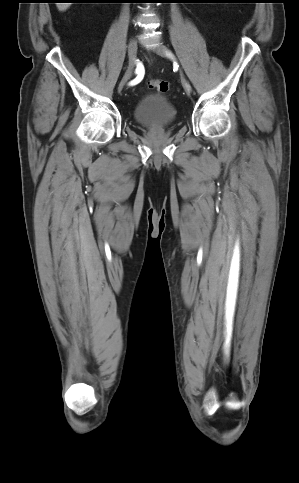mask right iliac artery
Segmentation results:
<instances>
[{"instance_id": "1", "label": "right iliac artery", "mask_w": 299, "mask_h": 483, "mask_svg": "<svg viewBox=\"0 0 299 483\" xmlns=\"http://www.w3.org/2000/svg\"><path fill=\"white\" fill-rule=\"evenodd\" d=\"M143 72V66L139 63L136 68V73H142ZM141 77L137 76L134 80L130 82L131 85H135L141 81Z\"/></svg>"}]
</instances>
